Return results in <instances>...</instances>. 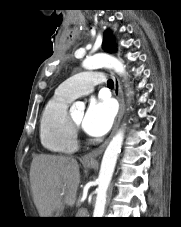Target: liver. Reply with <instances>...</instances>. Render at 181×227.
Listing matches in <instances>:
<instances>
[{
    "mask_svg": "<svg viewBox=\"0 0 181 227\" xmlns=\"http://www.w3.org/2000/svg\"><path fill=\"white\" fill-rule=\"evenodd\" d=\"M33 200L41 217H61L64 206L73 207L80 184L75 158L40 154L30 168ZM55 215V216H52Z\"/></svg>",
    "mask_w": 181,
    "mask_h": 227,
    "instance_id": "liver-1",
    "label": "liver"
}]
</instances>
